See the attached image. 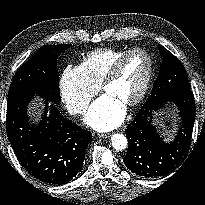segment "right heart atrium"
Returning <instances> with one entry per match:
<instances>
[{"label":"right heart atrium","mask_w":205,"mask_h":205,"mask_svg":"<svg viewBox=\"0 0 205 205\" xmlns=\"http://www.w3.org/2000/svg\"><path fill=\"white\" fill-rule=\"evenodd\" d=\"M59 90L67 110L73 115H82L98 86L88 80L80 66L68 65L60 76Z\"/></svg>","instance_id":"obj_1"}]
</instances>
